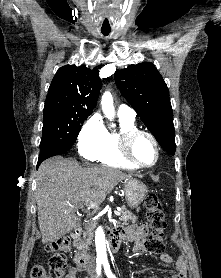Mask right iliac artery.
<instances>
[{"label": "right iliac artery", "instance_id": "obj_1", "mask_svg": "<svg viewBox=\"0 0 221 278\" xmlns=\"http://www.w3.org/2000/svg\"><path fill=\"white\" fill-rule=\"evenodd\" d=\"M97 274H98V276L101 274V265L97 266Z\"/></svg>", "mask_w": 221, "mask_h": 278}]
</instances>
